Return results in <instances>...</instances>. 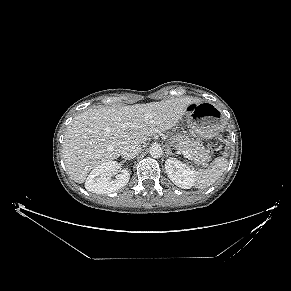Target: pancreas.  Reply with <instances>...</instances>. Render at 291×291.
Here are the masks:
<instances>
[{
	"instance_id": "obj_1",
	"label": "pancreas",
	"mask_w": 291,
	"mask_h": 291,
	"mask_svg": "<svg viewBox=\"0 0 291 291\" xmlns=\"http://www.w3.org/2000/svg\"><path fill=\"white\" fill-rule=\"evenodd\" d=\"M171 143L178 151H188L192 159L203 166H207L208 162L211 160V156L204 148L202 142L198 139L194 140L189 138L188 135H177L171 139Z\"/></svg>"
}]
</instances>
